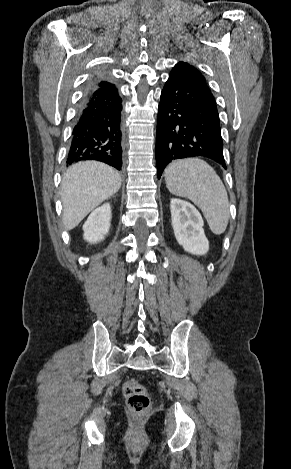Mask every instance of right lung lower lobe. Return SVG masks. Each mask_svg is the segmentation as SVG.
Wrapping results in <instances>:
<instances>
[{
    "mask_svg": "<svg viewBox=\"0 0 291 469\" xmlns=\"http://www.w3.org/2000/svg\"><path fill=\"white\" fill-rule=\"evenodd\" d=\"M89 82L81 101L66 164L97 160L118 170L122 167V99L115 86L96 87Z\"/></svg>",
    "mask_w": 291,
    "mask_h": 469,
    "instance_id": "1",
    "label": "right lung lower lobe"
}]
</instances>
